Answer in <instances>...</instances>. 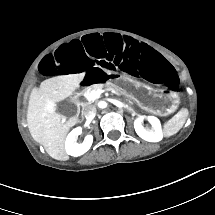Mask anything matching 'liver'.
Instances as JSON below:
<instances>
[{"instance_id": "6515ba94", "label": "liver", "mask_w": 215, "mask_h": 215, "mask_svg": "<svg viewBox=\"0 0 215 215\" xmlns=\"http://www.w3.org/2000/svg\"><path fill=\"white\" fill-rule=\"evenodd\" d=\"M85 72L59 75L43 81L40 88L30 94L27 111V126L32 138L41 144L55 159L65 155L64 142L77 117H66L56 113V102L72 95L84 79Z\"/></svg>"}]
</instances>
